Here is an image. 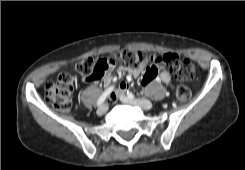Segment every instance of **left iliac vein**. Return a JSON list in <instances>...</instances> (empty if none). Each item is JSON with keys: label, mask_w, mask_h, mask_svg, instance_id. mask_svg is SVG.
Returning a JSON list of instances; mask_svg holds the SVG:
<instances>
[{"label": "left iliac vein", "mask_w": 245, "mask_h": 170, "mask_svg": "<svg viewBox=\"0 0 245 170\" xmlns=\"http://www.w3.org/2000/svg\"><path fill=\"white\" fill-rule=\"evenodd\" d=\"M119 99L121 102L129 104V105H134L138 106L143 110H150L152 109V103L150 101H144L141 99H132L124 95L123 93H119Z\"/></svg>", "instance_id": "obj_1"}]
</instances>
